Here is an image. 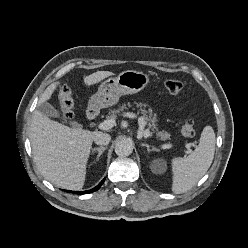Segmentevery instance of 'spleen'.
Returning <instances> with one entry per match:
<instances>
[{"instance_id": "3e777b00", "label": "spleen", "mask_w": 248, "mask_h": 248, "mask_svg": "<svg viewBox=\"0 0 248 248\" xmlns=\"http://www.w3.org/2000/svg\"><path fill=\"white\" fill-rule=\"evenodd\" d=\"M215 142L213 128L206 126L195 150L187 157L172 160V191L175 194L187 192L205 175L214 158Z\"/></svg>"}]
</instances>
